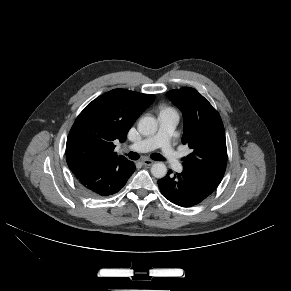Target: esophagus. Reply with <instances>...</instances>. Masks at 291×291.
<instances>
[{
  "label": "esophagus",
  "mask_w": 291,
  "mask_h": 291,
  "mask_svg": "<svg viewBox=\"0 0 291 291\" xmlns=\"http://www.w3.org/2000/svg\"><path fill=\"white\" fill-rule=\"evenodd\" d=\"M141 162H142V164L145 165V166H151V165L154 163V161H152V160H150V159H147V158L142 159Z\"/></svg>",
  "instance_id": "1"
}]
</instances>
